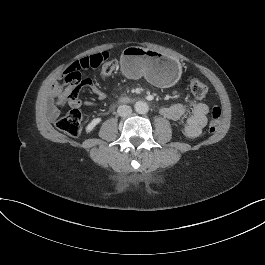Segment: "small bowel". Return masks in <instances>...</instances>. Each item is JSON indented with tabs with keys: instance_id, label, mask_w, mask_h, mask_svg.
<instances>
[{
	"instance_id": "obj_1",
	"label": "small bowel",
	"mask_w": 265,
	"mask_h": 265,
	"mask_svg": "<svg viewBox=\"0 0 265 265\" xmlns=\"http://www.w3.org/2000/svg\"><path fill=\"white\" fill-rule=\"evenodd\" d=\"M89 89L99 100H104L107 94L102 91L91 79L87 78L75 87H62L56 84L53 88V100L50 105L49 116L54 119L58 115V107L68 104L72 108H79L82 105L91 106V101L82 102L79 93L82 89ZM209 107L203 102L195 103L191 109L184 104L178 103L161 109V114L171 120H181L185 118L183 132L188 138H197L202 128L207 123V113Z\"/></svg>"
}]
</instances>
